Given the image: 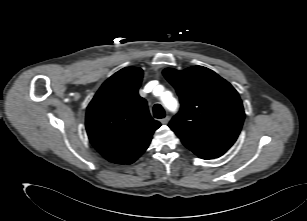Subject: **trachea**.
Listing matches in <instances>:
<instances>
[{
    "label": "trachea",
    "mask_w": 307,
    "mask_h": 221,
    "mask_svg": "<svg viewBox=\"0 0 307 221\" xmlns=\"http://www.w3.org/2000/svg\"><path fill=\"white\" fill-rule=\"evenodd\" d=\"M153 115L155 118H164L165 117V111L163 107L160 104H155L153 107Z\"/></svg>",
    "instance_id": "1"
}]
</instances>
